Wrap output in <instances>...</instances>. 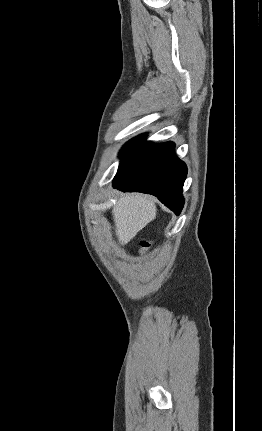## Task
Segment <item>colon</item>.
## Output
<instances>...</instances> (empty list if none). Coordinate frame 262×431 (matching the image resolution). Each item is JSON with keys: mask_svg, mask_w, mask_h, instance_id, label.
<instances>
[{"mask_svg": "<svg viewBox=\"0 0 262 431\" xmlns=\"http://www.w3.org/2000/svg\"><path fill=\"white\" fill-rule=\"evenodd\" d=\"M146 247H147V243L143 241L140 248V254H143L145 252Z\"/></svg>", "mask_w": 262, "mask_h": 431, "instance_id": "5ec220e1", "label": "colon"}]
</instances>
